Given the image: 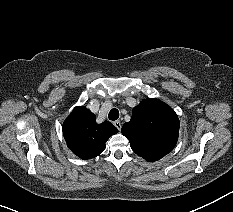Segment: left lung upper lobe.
I'll return each mask as SVG.
<instances>
[{
  "label": "left lung upper lobe",
  "instance_id": "obj_1",
  "mask_svg": "<svg viewBox=\"0 0 233 212\" xmlns=\"http://www.w3.org/2000/svg\"><path fill=\"white\" fill-rule=\"evenodd\" d=\"M121 132L137 155L154 162L176 145L179 119L164 102L147 98L133 108L131 120L123 125Z\"/></svg>",
  "mask_w": 233,
  "mask_h": 212
}]
</instances>
